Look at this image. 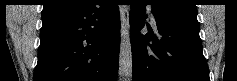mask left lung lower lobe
<instances>
[{
    "label": "left lung lower lobe",
    "mask_w": 237,
    "mask_h": 81,
    "mask_svg": "<svg viewBox=\"0 0 237 81\" xmlns=\"http://www.w3.org/2000/svg\"><path fill=\"white\" fill-rule=\"evenodd\" d=\"M147 2L134 1L129 14L133 81H210L197 17L162 12L151 2L158 36H143Z\"/></svg>",
    "instance_id": "obj_1"
}]
</instances>
